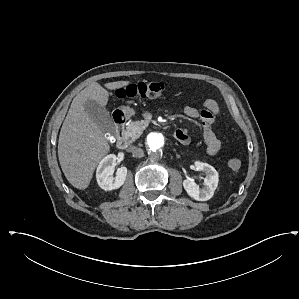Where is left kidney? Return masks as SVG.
Segmentation results:
<instances>
[{
  "instance_id": "5707ae66",
  "label": "left kidney",
  "mask_w": 299,
  "mask_h": 299,
  "mask_svg": "<svg viewBox=\"0 0 299 299\" xmlns=\"http://www.w3.org/2000/svg\"><path fill=\"white\" fill-rule=\"evenodd\" d=\"M194 164L197 171H202L205 173V186L201 188L193 180L186 179L183 181V187L191 198L197 201H207L212 198L214 191L218 186V172L213 166L207 163L196 161Z\"/></svg>"
}]
</instances>
